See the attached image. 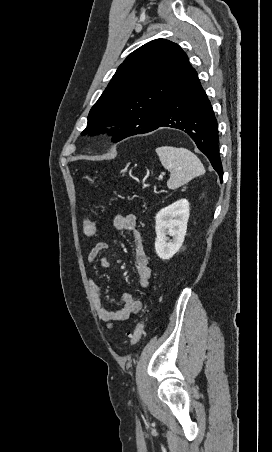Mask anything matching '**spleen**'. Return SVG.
Instances as JSON below:
<instances>
[{
    "mask_svg": "<svg viewBox=\"0 0 272 452\" xmlns=\"http://www.w3.org/2000/svg\"><path fill=\"white\" fill-rule=\"evenodd\" d=\"M156 153L163 167L171 173L167 182L170 189H176L205 173L199 158L185 148L161 146L156 148Z\"/></svg>",
    "mask_w": 272,
    "mask_h": 452,
    "instance_id": "obj_1",
    "label": "spleen"
}]
</instances>
